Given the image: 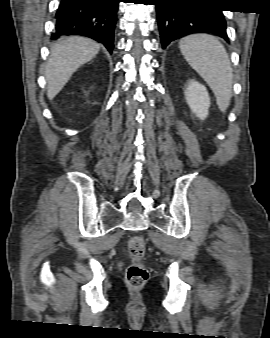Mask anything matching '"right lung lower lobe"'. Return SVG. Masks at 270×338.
<instances>
[{"label":"right lung lower lobe","instance_id":"1","mask_svg":"<svg viewBox=\"0 0 270 338\" xmlns=\"http://www.w3.org/2000/svg\"><path fill=\"white\" fill-rule=\"evenodd\" d=\"M119 0H61L55 15L56 29L51 38L82 35L113 50Z\"/></svg>","mask_w":270,"mask_h":338}]
</instances>
